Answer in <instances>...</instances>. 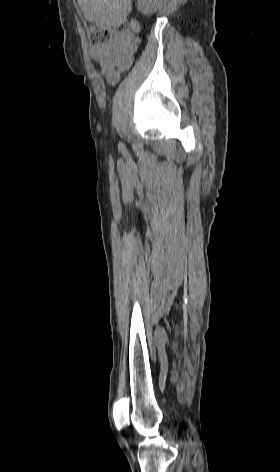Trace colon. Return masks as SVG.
<instances>
[{
	"instance_id": "obj_1",
	"label": "colon",
	"mask_w": 280,
	"mask_h": 472,
	"mask_svg": "<svg viewBox=\"0 0 280 472\" xmlns=\"http://www.w3.org/2000/svg\"><path fill=\"white\" fill-rule=\"evenodd\" d=\"M129 30V24L122 23L116 26L113 29H91V37L95 46H104L111 42L113 36L115 35H124ZM129 65V60L124 59L119 63L120 68H126Z\"/></svg>"
}]
</instances>
